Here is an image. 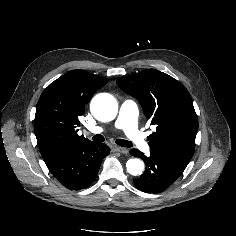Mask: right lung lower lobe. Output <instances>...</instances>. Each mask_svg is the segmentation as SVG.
Instances as JSON below:
<instances>
[{"instance_id":"right-lung-lower-lobe-1","label":"right lung lower lobe","mask_w":236,"mask_h":236,"mask_svg":"<svg viewBox=\"0 0 236 236\" xmlns=\"http://www.w3.org/2000/svg\"><path fill=\"white\" fill-rule=\"evenodd\" d=\"M109 153V147L103 143H74L43 159L63 186L80 190L93 182L103 158Z\"/></svg>"}]
</instances>
